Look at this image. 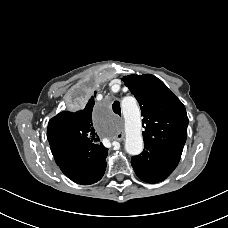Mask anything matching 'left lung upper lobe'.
<instances>
[{
    "mask_svg": "<svg viewBox=\"0 0 228 228\" xmlns=\"http://www.w3.org/2000/svg\"><path fill=\"white\" fill-rule=\"evenodd\" d=\"M122 80L139 102L144 145L182 151L189 123L182 102L154 75L134 74Z\"/></svg>",
    "mask_w": 228,
    "mask_h": 228,
    "instance_id": "5c2ea615",
    "label": "left lung upper lobe"
}]
</instances>
